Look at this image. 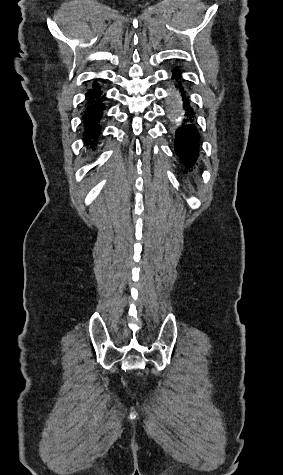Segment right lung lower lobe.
<instances>
[{"instance_id": "98d812e1", "label": "right lung lower lobe", "mask_w": 283, "mask_h": 475, "mask_svg": "<svg viewBox=\"0 0 283 475\" xmlns=\"http://www.w3.org/2000/svg\"><path fill=\"white\" fill-rule=\"evenodd\" d=\"M96 79L90 85L81 112V130L87 149L95 150L99 135L101 134L102 123L105 118L106 97L104 88Z\"/></svg>"}]
</instances>
